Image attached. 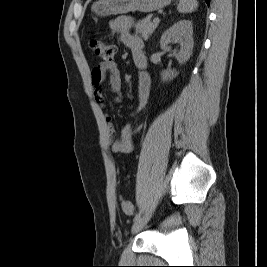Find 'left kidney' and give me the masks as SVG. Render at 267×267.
<instances>
[{"mask_svg": "<svg viewBox=\"0 0 267 267\" xmlns=\"http://www.w3.org/2000/svg\"><path fill=\"white\" fill-rule=\"evenodd\" d=\"M193 26L189 20H180L168 28L161 36L160 46L164 51H171L169 44L179 43L180 50L174 52L175 58L180 64L188 61L192 54L193 42ZM163 80L173 79L177 76L175 70L163 71L161 73Z\"/></svg>", "mask_w": 267, "mask_h": 267, "instance_id": "left-kidney-1", "label": "left kidney"}]
</instances>
